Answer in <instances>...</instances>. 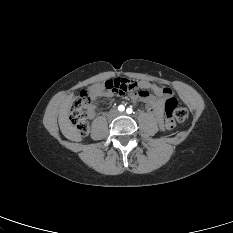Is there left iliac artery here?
<instances>
[{"label": "left iliac artery", "mask_w": 233, "mask_h": 233, "mask_svg": "<svg viewBox=\"0 0 233 233\" xmlns=\"http://www.w3.org/2000/svg\"><path fill=\"white\" fill-rule=\"evenodd\" d=\"M126 112H127L128 114H131V113L133 112V110H132V108H127Z\"/></svg>", "instance_id": "left-iliac-artery-1"}]
</instances>
